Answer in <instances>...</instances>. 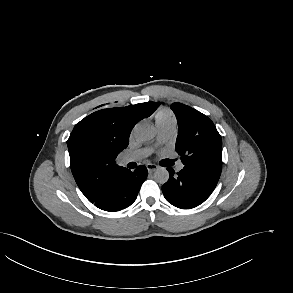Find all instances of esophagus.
I'll use <instances>...</instances> for the list:
<instances>
[{
  "label": "esophagus",
  "mask_w": 293,
  "mask_h": 293,
  "mask_svg": "<svg viewBox=\"0 0 293 293\" xmlns=\"http://www.w3.org/2000/svg\"><path fill=\"white\" fill-rule=\"evenodd\" d=\"M146 167H147L149 172H154V171H156L158 169L157 165L151 164V163L147 164Z\"/></svg>",
  "instance_id": "34e87169"
}]
</instances>
